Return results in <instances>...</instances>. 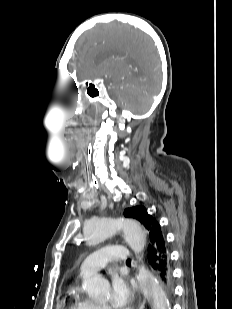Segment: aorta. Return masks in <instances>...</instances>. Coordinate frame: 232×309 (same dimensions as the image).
I'll return each mask as SVG.
<instances>
[{
  "instance_id": "obj_1",
  "label": "aorta",
  "mask_w": 232,
  "mask_h": 309,
  "mask_svg": "<svg viewBox=\"0 0 232 309\" xmlns=\"http://www.w3.org/2000/svg\"><path fill=\"white\" fill-rule=\"evenodd\" d=\"M84 236L89 246H95L111 237L118 231L124 233V238L131 250L139 254L146 245V235L140 225L124 218H100L90 220L84 225ZM136 279L144 297L152 309H169L167 296L156 278L143 265L139 266ZM83 288L89 297L105 300L109 296V284L99 277L86 278Z\"/></svg>"
}]
</instances>
